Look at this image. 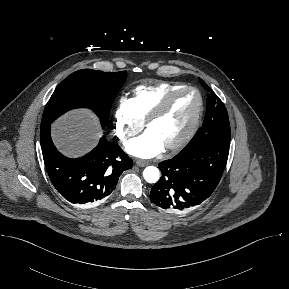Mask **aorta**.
<instances>
[{
    "mask_svg": "<svg viewBox=\"0 0 289 289\" xmlns=\"http://www.w3.org/2000/svg\"><path fill=\"white\" fill-rule=\"evenodd\" d=\"M143 176L146 182L156 183L159 180L160 172L158 168L154 166H148L144 169Z\"/></svg>",
    "mask_w": 289,
    "mask_h": 289,
    "instance_id": "aorta-1",
    "label": "aorta"
}]
</instances>
